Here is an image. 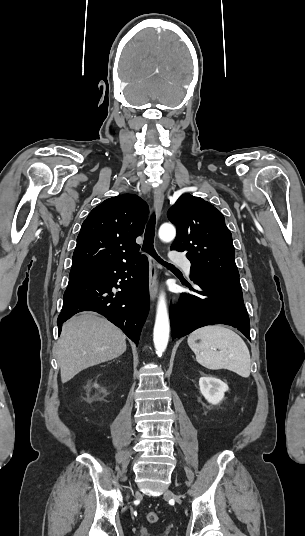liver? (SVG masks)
<instances>
[{
	"label": "liver",
	"instance_id": "obj_1",
	"mask_svg": "<svg viewBox=\"0 0 305 536\" xmlns=\"http://www.w3.org/2000/svg\"><path fill=\"white\" fill-rule=\"evenodd\" d=\"M126 350V336L93 312H81L64 324L57 346L61 382H69L81 370L119 358Z\"/></svg>",
	"mask_w": 305,
	"mask_h": 536
}]
</instances>
